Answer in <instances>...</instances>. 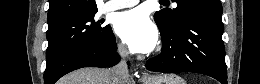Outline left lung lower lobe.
I'll use <instances>...</instances> for the list:
<instances>
[{
	"label": "left lung lower lobe",
	"mask_w": 260,
	"mask_h": 84,
	"mask_svg": "<svg viewBox=\"0 0 260 84\" xmlns=\"http://www.w3.org/2000/svg\"><path fill=\"white\" fill-rule=\"evenodd\" d=\"M159 30L162 50L147 61L148 70L201 73L227 84L221 14L190 13L175 28Z\"/></svg>",
	"instance_id": "obj_1"
}]
</instances>
